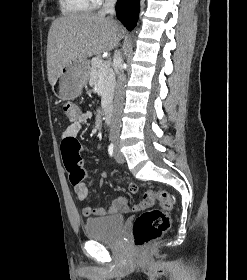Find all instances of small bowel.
<instances>
[{"mask_svg":"<svg viewBox=\"0 0 247 280\" xmlns=\"http://www.w3.org/2000/svg\"><path fill=\"white\" fill-rule=\"evenodd\" d=\"M92 114L90 112H81L78 119L75 121H72L63 131L62 133V139H76V136L78 134V132L81 129V126L83 124L88 123L91 120ZM75 193L78 197V199L83 202L86 200L87 195H88V190L87 191H77L75 190ZM152 202H147L143 199L142 202H140L139 204L131 207L128 204V201L125 197L120 196L115 198L112 201L111 206L106 210L104 208H91L89 206H84L82 208V214L85 217H90V216H105L107 214H115L118 213L120 211L122 212H128L130 210H140L144 207H146L147 205H150Z\"/></svg>","mask_w":247,"mask_h":280,"instance_id":"1","label":"small bowel"}]
</instances>
